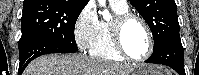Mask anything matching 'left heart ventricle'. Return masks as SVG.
<instances>
[{"instance_id": "left-heart-ventricle-1", "label": "left heart ventricle", "mask_w": 199, "mask_h": 75, "mask_svg": "<svg viewBox=\"0 0 199 75\" xmlns=\"http://www.w3.org/2000/svg\"><path fill=\"white\" fill-rule=\"evenodd\" d=\"M123 43L128 54L134 58H140L147 52V35L138 22L131 21L125 26Z\"/></svg>"}]
</instances>
